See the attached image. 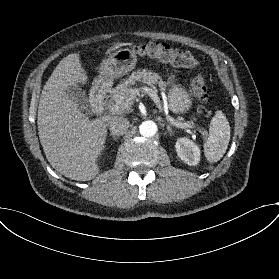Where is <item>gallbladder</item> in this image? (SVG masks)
<instances>
[{"label":"gallbladder","instance_id":"bac80fb5","mask_svg":"<svg viewBox=\"0 0 279 279\" xmlns=\"http://www.w3.org/2000/svg\"><path fill=\"white\" fill-rule=\"evenodd\" d=\"M68 95L71 99H75L78 105L85 107L87 105V97L85 91L80 87L69 88Z\"/></svg>","mask_w":279,"mask_h":279}]
</instances>
